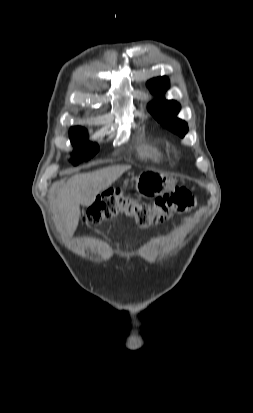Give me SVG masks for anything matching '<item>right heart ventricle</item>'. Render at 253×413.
Instances as JSON below:
<instances>
[{"mask_svg":"<svg viewBox=\"0 0 253 413\" xmlns=\"http://www.w3.org/2000/svg\"><path fill=\"white\" fill-rule=\"evenodd\" d=\"M137 155L144 160L160 161L164 156L163 149L154 143L140 139L136 145Z\"/></svg>","mask_w":253,"mask_h":413,"instance_id":"obj_1","label":"right heart ventricle"}]
</instances>
